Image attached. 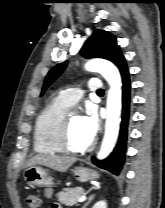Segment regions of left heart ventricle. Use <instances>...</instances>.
Wrapping results in <instances>:
<instances>
[{
    "mask_svg": "<svg viewBox=\"0 0 165 208\" xmlns=\"http://www.w3.org/2000/svg\"><path fill=\"white\" fill-rule=\"evenodd\" d=\"M92 141L86 135L82 117L77 114L72 115L70 119L69 143L73 148H84Z\"/></svg>",
    "mask_w": 165,
    "mask_h": 208,
    "instance_id": "left-heart-ventricle-1",
    "label": "left heart ventricle"
}]
</instances>
